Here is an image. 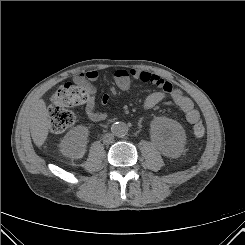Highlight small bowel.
<instances>
[{"label": "small bowel", "mask_w": 245, "mask_h": 245, "mask_svg": "<svg viewBox=\"0 0 245 245\" xmlns=\"http://www.w3.org/2000/svg\"><path fill=\"white\" fill-rule=\"evenodd\" d=\"M98 76V73L92 70L76 74L73 78L75 83L89 85L92 89V96L84 105L85 116L92 122H102L107 119V114L97 109L93 96L94 89L90 85V82L97 80ZM132 80L152 84L159 88L158 91L150 93L144 99L142 103L144 111L153 109L159 103L169 100L184 112L189 123L194 124L200 121V112L195 108L193 101L184 95L181 90L175 88L170 81L157 74L138 69H117L114 72V81L121 91H128ZM109 99V96L105 94L101 98V103L104 105L108 104Z\"/></svg>", "instance_id": "c3829d8e"}]
</instances>
